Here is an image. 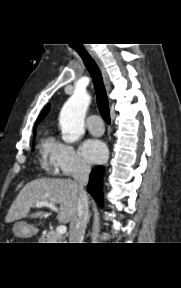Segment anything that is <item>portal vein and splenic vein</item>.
<instances>
[{
	"mask_svg": "<svg viewBox=\"0 0 181 288\" xmlns=\"http://www.w3.org/2000/svg\"><path fill=\"white\" fill-rule=\"evenodd\" d=\"M36 207L40 208V207H47L50 208L51 210L58 212L57 207L55 206V204L53 203H49V202H44V201H39L36 203ZM67 231V227L65 225H59L56 228V233L58 235H64Z\"/></svg>",
	"mask_w": 181,
	"mask_h": 288,
	"instance_id": "portal-vein-and-splenic-vein-1",
	"label": "portal vein and splenic vein"
}]
</instances>
